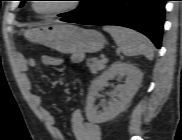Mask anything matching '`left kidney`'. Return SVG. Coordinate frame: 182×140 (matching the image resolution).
<instances>
[{
	"label": "left kidney",
	"instance_id": "left-kidney-1",
	"mask_svg": "<svg viewBox=\"0 0 182 140\" xmlns=\"http://www.w3.org/2000/svg\"><path fill=\"white\" fill-rule=\"evenodd\" d=\"M118 76H126L125 84L116 87L117 97L107 106L103 107V111L98 112L95 107V101L105 86H108V80ZM142 72L132 64L116 62L113 63L99 78L91 85L86 104V116L91 123H104L115 118L118 114L125 110L135 93L138 91L141 81Z\"/></svg>",
	"mask_w": 182,
	"mask_h": 140
}]
</instances>
